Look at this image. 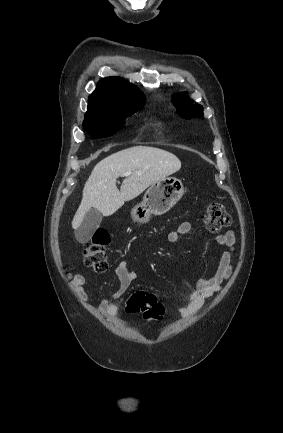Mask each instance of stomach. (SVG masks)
Masks as SVG:
<instances>
[{
	"label": "stomach",
	"mask_w": 283,
	"mask_h": 433,
	"mask_svg": "<svg viewBox=\"0 0 283 433\" xmlns=\"http://www.w3.org/2000/svg\"><path fill=\"white\" fill-rule=\"evenodd\" d=\"M185 190L182 180L175 176H165L153 182L146 190L142 202L136 204L131 210V214L135 221H146L150 219V214H163L167 212L171 206H174Z\"/></svg>",
	"instance_id": "0dacf381"
}]
</instances>
